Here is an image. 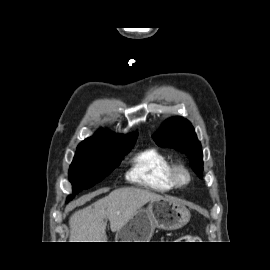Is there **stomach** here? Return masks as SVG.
Returning a JSON list of instances; mask_svg holds the SVG:
<instances>
[{"mask_svg":"<svg viewBox=\"0 0 270 270\" xmlns=\"http://www.w3.org/2000/svg\"><path fill=\"white\" fill-rule=\"evenodd\" d=\"M190 211L181 202L162 197L150 201L116 232V242H149L155 228L176 230L190 220Z\"/></svg>","mask_w":270,"mask_h":270,"instance_id":"1","label":"stomach"}]
</instances>
